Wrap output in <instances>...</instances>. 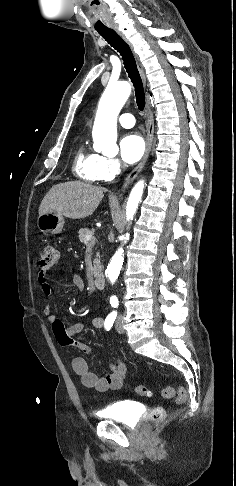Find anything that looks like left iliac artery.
<instances>
[{
	"label": "left iliac artery",
	"mask_w": 236,
	"mask_h": 486,
	"mask_svg": "<svg viewBox=\"0 0 236 486\" xmlns=\"http://www.w3.org/2000/svg\"><path fill=\"white\" fill-rule=\"evenodd\" d=\"M110 303H111V305L113 307H117L118 306V300L117 299H111Z\"/></svg>",
	"instance_id": "left-iliac-artery-1"
}]
</instances>
